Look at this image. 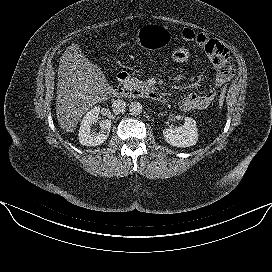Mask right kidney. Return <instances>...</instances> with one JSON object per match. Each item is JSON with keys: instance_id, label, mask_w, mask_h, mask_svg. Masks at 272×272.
<instances>
[{"instance_id": "1", "label": "right kidney", "mask_w": 272, "mask_h": 272, "mask_svg": "<svg viewBox=\"0 0 272 272\" xmlns=\"http://www.w3.org/2000/svg\"><path fill=\"white\" fill-rule=\"evenodd\" d=\"M100 107L95 106L84 116L79 128V142L83 146H97L101 145L109 136L111 129V121L108 119L99 122L100 131L95 133L91 131V126L97 123L99 118Z\"/></svg>"}]
</instances>
